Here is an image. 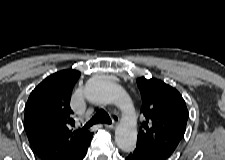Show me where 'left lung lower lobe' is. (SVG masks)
<instances>
[{"instance_id":"1","label":"left lung lower lobe","mask_w":225,"mask_h":160,"mask_svg":"<svg viewBox=\"0 0 225 160\" xmlns=\"http://www.w3.org/2000/svg\"><path fill=\"white\" fill-rule=\"evenodd\" d=\"M126 160H158V159L135 149L133 152L127 155Z\"/></svg>"}]
</instances>
